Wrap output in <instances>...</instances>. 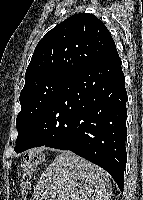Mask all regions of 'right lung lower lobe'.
Masks as SVG:
<instances>
[{
    "label": "right lung lower lobe",
    "mask_w": 143,
    "mask_h": 200,
    "mask_svg": "<svg viewBox=\"0 0 143 200\" xmlns=\"http://www.w3.org/2000/svg\"><path fill=\"white\" fill-rule=\"evenodd\" d=\"M125 77L117 50L74 73L36 120L19 152L70 150L104 168L123 191L127 161Z\"/></svg>",
    "instance_id": "1"
}]
</instances>
